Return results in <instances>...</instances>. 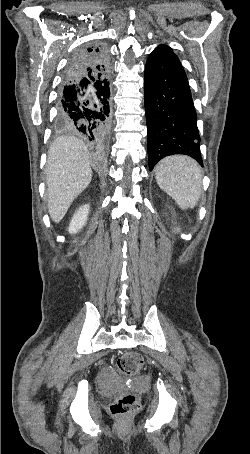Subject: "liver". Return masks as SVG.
Here are the masks:
<instances>
[{
    "label": "liver",
    "mask_w": 250,
    "mask_h": 454,
    "mask_svg": "<svg viewBox=\"0 0 250 454\" xmlns=\"http://www.w3.org/2000/svg\"><path fill=\"white\" fill-rule=\"evenodd\" d=\"M45 172L49 214L58 223L92 179L84 142L73 136L57 138L50 146Z\"/></svg>",
    "instance_id": "liver-1"
}]
</instances>
